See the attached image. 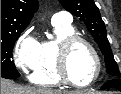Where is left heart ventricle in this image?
Returning a JSON list of instances; mask_svg holds the SVG:
<instances>
[{
  "mask_svg": "<svg viewBox=\"0 0 121 94\" xmlns=\"http://www.w3.org/2000/svg\"><path fill=\"white\" fill-rule=\"evenodd\" d=\"M68 68L71 78L76 83H87L94 77L96 61L83 43H76L70 50Z\"/></svg>",
  "mask_w": 121,
  "mask_h": 94,
  "instance_id": "left-heart-ventricle-1",
  "label": "left heart ventricle"
}]
</instances>
